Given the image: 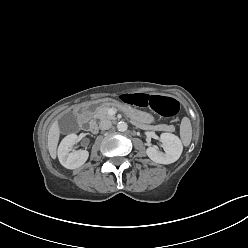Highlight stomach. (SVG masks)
I'll return each instance as SVG.
<instances>
[{
	"instance_id": "stomach-1",
	"label": "stomach",
	"mask_w": 248,
	"mask_h": 248,
	"mask_svg": "<svg viewBox=\"0 0 248 248\" xmlns=\"http://www.w3.org/2000/svg\"><path fill=\"white\" fill-rule=\"evenodd\" d=\"M110 106L112 108H117L123 113L129 115L130 118L139 122V123H150L152 121L151 115L147 113H143L137 109H132L131 107L125 105L123 102L112 100V99H101L93 102L89 105L90 111H95L101 107Z\"/></svg>"
}]
</instances>
